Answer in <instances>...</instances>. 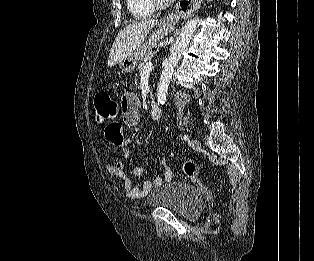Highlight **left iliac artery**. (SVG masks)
Wrapping results in <instances>:
<instances>
[{"mask_svg":"<svg viewBox=\"0 0 314 261\" xmlns=\"http://www.w3.org/2000/svg\"><path fill=\"white\" fill-rule=\"evenodd\" d=\"M183 139H184L185 141H189V136H188V135H184Z\"/></svg>","mask_w":314,"mask_h":261,"instance_id":"left-iliac-artery-1","label":"left iliac artery"}]
</instances>
